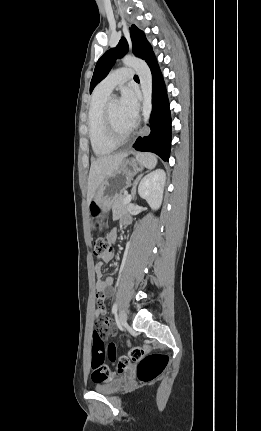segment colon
I'll return each instance as SVG.
<instances>
[{
  "label": "colon",
  "instance_id": "obj_1",
  "mask_svg": "<svg viewBox=\"0 0 261 431\" xmlns=\"http://www.w3.org/2000/svg\"><path fill=\"white\" fill-rule=\"evenodd\" d=\"M97 212V208H93ZM93 251L95 257L101 259L110 253V245L104 238H97L94 241ZM97 331V330H96ZM94 332L92 347V374L91 382L96 386L101 383L119 382L120 373H125L131 361L137 362V376L141 382L148 383L157 379L164 371L168 363V356L161 353L147 354L146 347H131L128 355L117 358L116 345L111 343L108 346L107 354L111 361L117 362L115 370H110L105 364V348L102 337Z\"/></svg>",
  "mask_w": 261,
  "mask_h": 431
}]
</instances>
